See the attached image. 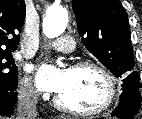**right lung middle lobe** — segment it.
<instances>
[{
  "label": "right lung middle lobe",
  "instance_id": "obj_1",
  "mask_svg": "<svg viewBox=\"0 0 142 119\" xmlns=\"http://www.w3.org/2000/svg\"><path fill=\"white\" fill-rule=\"evenodd\" d=\"M17 67L10 50H0V90H16Z\"/></svg>",
  "mask_w": 142,
  "mask_h": 119
}]
</instances>
